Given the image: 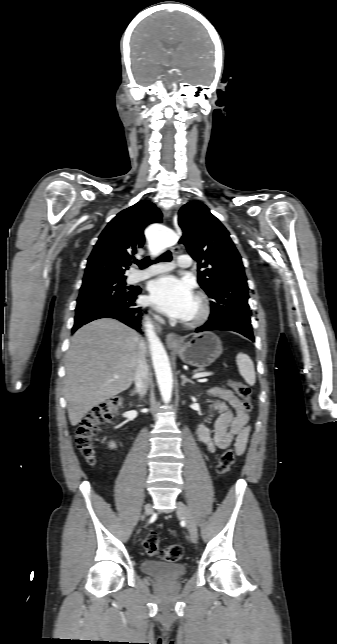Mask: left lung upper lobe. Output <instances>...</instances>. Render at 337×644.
I'll list each match as a JSON object with an SVG mask.
<instances>
[{
    "mask_svg": "<svg viewBox=\"0 0 337 644\" xmlns=\"http://www.w3.org/2000/svg\"><path fill=\"white\" fill-rule=\"evenodd\" d=\"M184 243L198 262V283L212 299L210 320H223L252 331L248 286L241 256L222 223L200 201L178 213Z\"/></svg>",
    "mask_w": 337,
    "mask_h": 644,
    "instance_id": "1",
    "label": "left lung upper lobe"
}]
</instances>
